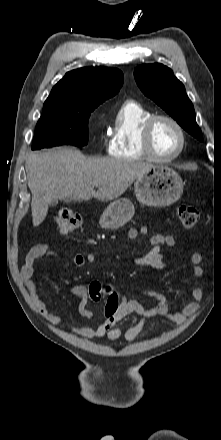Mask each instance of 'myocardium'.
Listing matches in <instances>:
<instances>
[{
    "instance_id": "f54148a6",
    "label": "myocardium",
    "mask_w": 221,
    "mask_h": 440,
    "mask_svg": "<svg viewBox=\"0 0 221 440\" xmlns=\"http://www.w3.org/2000/svg\"><path fill=\"white\" fill-rule=\"evenodd\" d=\"M162 120L168 121L172 125H174V127L177 129L179 136H180V146H179L178 150L174 154H172L170 156H166V157L160 156L156 153V151L153 147V141H152L154 128H155L156 124ZM141 137H142L143 148H144L146 154L148 155V157L150 159L157 161V162L174 161L182 154V152L184 151V149L186 147V134H185L183 126L174 117H172L170 115H166V114H156V115L150 116L144 122V124L142 126Z\"/></svg>"
}]
</instances>
